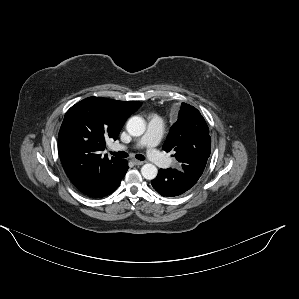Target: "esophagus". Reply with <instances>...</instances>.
Listing matches in <instances>:
<instances>
[{"instance_id":"obj_1","label":"esophagus","mask_w":299,"mask_h":299,"mask_svg":"<svg viewBox=\"0 0 299 299\" xmlns=\"http://www.w3.org/2000/svg\"><path fill=\"white\" fill-rule=\"evenodd\" d=\"M132 162H133V164H134L135 166H140V165H143V164H144L143 161H139V160H135V159H133Z\"/></svg>"}]
</instances>
